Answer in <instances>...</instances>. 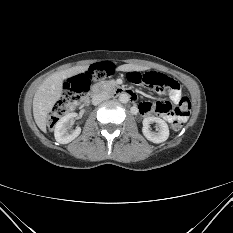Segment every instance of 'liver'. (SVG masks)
<instances>
[{
	"label": "liver",
	"mask_w": 233,
	"mask_h": 233,
	"mask_svg": "<svg viewBox=\"0 0 233 233\" xmlns=\"http://www.w3.org/2000/svg\"><path fill=\"white\" fill-rule=\"evenodd\" d=\"M87 70V66H76L64 71L56 72L46 78L37 89L33 98V116L37 126L46 130L47 115L52 111L55 103L62 95L64 79L77 75ZM118 71H143L146 67L124 64L117 68Z\"/></svg>",
	"instance_id": "obj_1"
}]
</instances>
